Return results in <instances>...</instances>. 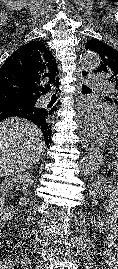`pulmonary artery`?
<instances>
[{
  "label": "pulmonary artery",
  "instance_id": "pulmonary-artery-1",
  "mask_svg": "<svg viewBox=\"0 0 118 269\" xmlns=\"http://www.w3.org/2000/svg\"><path fill=\"white\" fill-rule=\"evenodd\" d=\"M88 85L93 89H101L104 87L105 82L101 76L94 75L87 81Z\"/></svg>",
  "mask_w": 118,
  "mask_h": 269
}]
</instances>
